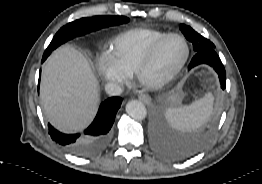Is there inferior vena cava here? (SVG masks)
<instances>
[{"label":"inferior vena cava","mask_w":262,"mask_h":184,"mask_svg":"<svg viewBox=\"0 0 262 184\" xmlns=\"http://www.w3.org/2000/svg\"><path fill=\"white\" fill-rule=\"evenodd\" d=\"M105 91L110 96H118L122 93V88L117 83L109 82L105 85Z\"/></svg>","instance_id":"602c4592"}]
</instances>
